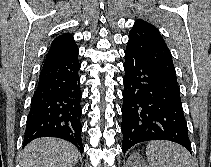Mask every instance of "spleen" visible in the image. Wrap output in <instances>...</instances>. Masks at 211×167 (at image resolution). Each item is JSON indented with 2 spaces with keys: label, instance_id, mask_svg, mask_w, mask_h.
<instances>
[{
  "label": "spleen",
  "instance_id": "3e777b00",
  "mask_svg": "<svg viewBox=\"0 0 211 167\" xmlns=\"http://www.w3.org/2000/svg\"><path fill=\"white\" fill-rule=\"evenodd\" d=\"M150 167H194L191 154L170 141H151L146 147Z\"/></svg>",
  "mask_w": 211,
  "mask_h": 167
}]
</instances>
